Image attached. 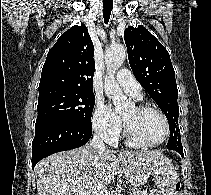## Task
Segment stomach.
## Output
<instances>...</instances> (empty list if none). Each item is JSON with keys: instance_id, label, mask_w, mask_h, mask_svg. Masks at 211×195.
Instances as JSON below:
<instances>
[{"instance_id": "0dacf381", "label": "stomach", "mask_w": 211, "mask_h": 195, "mask_svg": "<svg viewBox=\"0 0 211 195\" xmlns=\"http://www.w3.org/2000/svg\"><path fill=\"white\" fill-rule=\"evenodd\" d=\"M153 175L155 183L165 190L177 181V173L168 158H159L148 170H136L129 174L128 180L133 186H141ZM168 195V194H163Z\"/></svg>"}]
</instances>
